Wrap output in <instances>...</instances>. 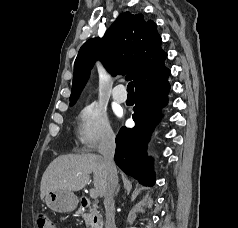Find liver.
Returning a JSON list of instances; mask_svg holds the SVG:
<instances>
[{"label": "liver", "mask_w": 238, "mask_h": 228, "mask_svg": "<svg viewBox=\"0 0 238 228\" xmlns=\"http://www.w3.org/2000/svg\"><path fill=\"white\" fill-rule=\"evenodd\" d=\"M91 173L98 195L104 196L108 172L102 156L93 153L59 156L42 176L40 197L43 199L50 191H79L89 183Z\"/></svg>", "instance_id": "6515ba94"}]
</instances>
